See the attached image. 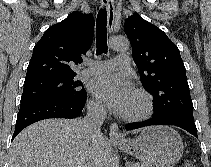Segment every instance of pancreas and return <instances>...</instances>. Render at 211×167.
<instances>
[{"mask_svg": "<svg viewBox=\"0 0 211 167\" xmlns=\"http://www.w3.org/2000/svg\"><path fill=\"white\" fill-rule=\"evenodd\" d=\"M126 167H145L143 164L127 162Z\"/></svg>", "mask_w": 211, "mask_h": 167, "instance_id": "cf45deb5", "label": "pancreas"}]
</instances>
